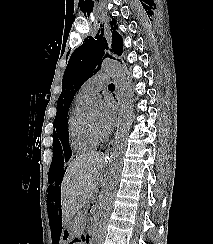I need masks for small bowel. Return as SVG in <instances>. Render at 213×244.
Segmentation results:
<instances>
[{
  "label": "small bowel",
  "instance_id": "c3829d8e",
  "mask_svg": "<svg viewBox=\"0 0 213 244\" xmlns=\"http://www.w3.org/2000/svg\"><path fill=\"white\" fill-rule=\"evenodd\" d=\"M71 244H86L84 241L81 240H74L71 242Z\"/></svg>",
  "mask_w": 213,
  "mask_h": 244
}]
</instances>
